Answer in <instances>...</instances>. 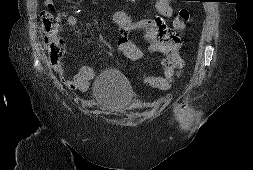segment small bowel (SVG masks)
<instances>
[{
	"mask_svg": "<svg viewBox=\"0 0 253 170\" xmlns=\"http://www.w3.org/2000/svg\"><path fill=\"white\" fill-rule=\"evenodd\" d=\"M174 0H156V11L158 16L147 19H134L128 13L122 10H116L112 13V20L120 30V37L117 45L119 51L128 59L132 61L140 60L144 57V51L131 42L128 35L131 31L141 30L144 32V38L148 42V50L150 52L159 53L162 55L160 64L164 71L163 77L144 76V82L149 85L150 80L159 83V89H168L174 78L180 75L184 67V61L179 54L181 41L178 35L169 29L165 24L163 18L170 17L173 13L172 2ZM45 6L49 10H55V5L52 0H46ZM66 19L68 26L75 28V34L81 36L82 32L77 29L78 19L75 15H67L64 11H59L54 22V33L57 34L62 26L63 20ZM179 22L178 16L173 20V28L175 30H182V27H177ZM53 69L58 73L65 85L72 90L80 92L87 91L90 81L95 77L94 70L88 65H81L77 73L71 77H65V67L62 63H54ZM151 86V85H149Z\"/></svg>",
	"mask_w": 253,
	"mask_h": 170,
	"instance_id": "obj_1",
	"label": "small bowel"
}]
</instances>
